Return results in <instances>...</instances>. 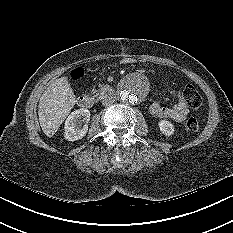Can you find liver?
Instances as JSON below:
<instances>
[{
  "instance_id": "obj_1",
  "label": "liver",
  "mask_w": 233,
  "mask_h": 233,
  "mask_svg": "<svg viewBox=\"0 0 233 233\" xmlns=\"http://www.w3.org/2000/svg\"><path fill=\"white\" fill-rule=\"evenodd\" d=\"M75 102L76 98L67 77L49 83L38 105L40 126L47 137L54 136Z\"/></svg>"
}]
</instances>
